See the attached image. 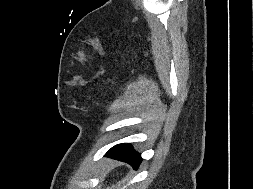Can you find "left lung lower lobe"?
<instances>
[{"instance_id":"left-lung-lower-lobe-1","label":"left lung lower lobe","mask_w":253,"mask_h":189,"mask_svg":"<svg viewBox=\"0 0 253 189\" xmlns=\"http://www.w3.org/2000/svg\"><path fill=\"white\" fill-rule=\"evenodd\" d=\"M105 156H110L130 164L137 169L142 161L141 155L129 144H118L112 147Z\"/></svg>"}]
</instances>
